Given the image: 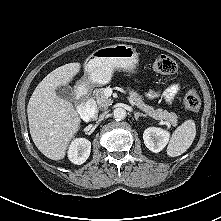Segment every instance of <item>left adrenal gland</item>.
I'll use <instances>...</instances> for the list:
<instances>
[{"label": "left adrenal gland", "mask_w": 221, "mask_h": 221, "mask_svg": "<svg viewBox=\"0 0 221 221\" xmlns=\"http://www.w3.org/2000/svg\"><path fill=\"white\" fill-rule=\"evenodd\" d=\"M134 117L138 120L139 117H146V115L140 112H134Z\"/></svg>", "instance_id": "1"}]
</instances>
